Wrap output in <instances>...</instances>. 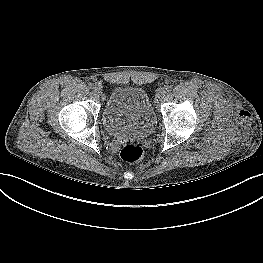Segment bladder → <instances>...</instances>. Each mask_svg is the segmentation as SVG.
<instances>
[{
	"mask_svg": "<svg viewBox=\"0 0 263 263\" xmlns=\"http://www.w3.org/2000/svg\"><path fill=\"white\" fill-rule=\"evenodd\" d=\"M101 121L113 136H148L155 126V113L143 89L115 86L104 104Z\"/></svg>",
	"mask_w": 263,
	"mask_h": 263,
	"instance_id": "31cf9c89",
	"label": "bladder"
}]
</instances>
